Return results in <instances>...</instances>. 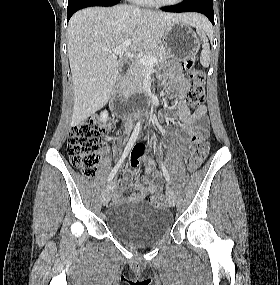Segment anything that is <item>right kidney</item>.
<instances>
[{"mask_svg": "<svg viewBox=\"0 0 280 285\" xmlns=\"http://www.w3.org/2000/svg\"><path fill=\"white\" fill-rule=\"evenodd\" d=\"M107 119H108V113L105 110V111L101 112V114H100V121H102L103 123H106Z\"/></svg>", "mask_w": 280, "mask_h": 285, "instance_id": "obj_1", "label": "right kidney"}]
</instances>
